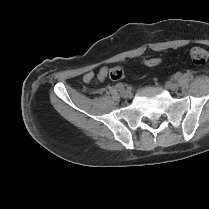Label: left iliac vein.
I'll list each match as a JSON object with an SVG mask.
<instances>
[{
	"label": "left iliac vein",
	"mask_w": 209,
	"mask_h": 209,
	"mask_svg": "<svg viewBox=\"0 0 209 209\" xmlns=\"http://www.w3.org/2000/svg\"><path fill=\"white\" fill-rule=\"evenodd\" d=\"M165 87L168 89V90H171V91H176L178 90V84L175 83V82H172V81H169L166 83Z\"/></svg>",
	"instance_id": "4c4485c4"
}]
</instances>
